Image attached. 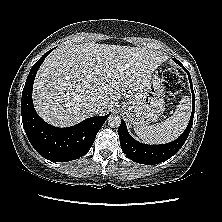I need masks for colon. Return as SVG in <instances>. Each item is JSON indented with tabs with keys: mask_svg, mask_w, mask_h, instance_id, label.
Instances as JSON below:
<instances>
[{
	"mask_svg": "<svg viewBox=\"0 0 222 222\" xmlns=\"http://www.w3.org/2000/svg\"><path fill=\"white\" fill-rule=\"evenodd\" d=\"M162 83L167 95L171 97L178 95L184 87L182 77L177 70L172 68L164 72Z\"/></svg>",
	"mask_w": 222,
	"mask_h": 222,
	"instance_id": "1",
	"label": "colon"
}]
</instances>
